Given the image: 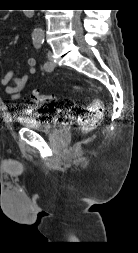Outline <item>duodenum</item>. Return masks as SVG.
Here are the masks:
<instances>
[{"label": "duodenum", "instance_id": "410a0bca", "mask_svg": "<svg viewBox=\"0 0 138 253\" xmlns=\"http://www.w3.org/2000/svg\"><path fill=\"white\" fill-rule=\"evenodd\" d=\"M33 14H34V12H33V11H27V15H28V16H30V17H31Z\"/></svg>", "mask_w": 138, "mask_h": 253}]
</instances>
